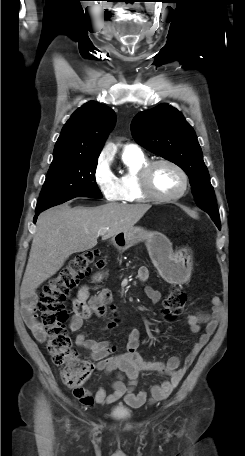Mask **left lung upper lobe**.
Wrapping results in <instances>:
<instances>
[{"instance_id": "left-lung-upper-lobe-1", "label": "left lung upper lobe", "mask_w": 245, "mask_h": 456, "mask_svg": "<svg viewBox=\"0 0 245 456\" xmlns=\"http://www.w3.org/2000/svg\"><path fill=\"white\" fill-rule=\"evenodd\" d=\"M131 131L138 144L175 163L188 175L197 205L220 223L216 198L193 128L168 104L138 113Z\"/></svg>"}]
</instances>
